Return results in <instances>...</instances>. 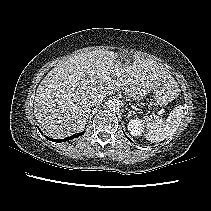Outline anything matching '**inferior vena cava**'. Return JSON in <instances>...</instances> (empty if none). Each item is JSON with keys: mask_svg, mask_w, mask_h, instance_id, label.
<instances>
[{"mask_svg": "<svg viewBox=\"0 0 211 211\" xmlns=\"http://www.w3.org/2000/svg\"><path fill=\"white\" fill-rule=\"evenodd\" d=\"M104 96L102 94L92 95L88 101L89 106H96L103 102Z\"/></svg>", "mask_w": 211, "mask_h": 211, "instance_id": "602c4592", "label": "inferior vena cava"}]
</instances>
